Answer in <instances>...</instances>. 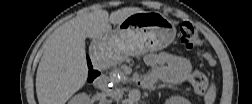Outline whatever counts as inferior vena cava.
<instances>
[{
    "label": "inferior vena cava",
    "mask_w": 252,
    "mask_h": 104,
    "mask_svg": "<svg viewBox=\"0 0 252 104\" xmlns=\"http://www.w3.org/2000/svg\"><path fill=\"white\" fill-rule=\"evenodd\" d=\"M123 95V91L121 89H114L109 92V96L114 100H119Z\"/></svg>",
    "instance_id": "602c4592"
}]
</instances>
